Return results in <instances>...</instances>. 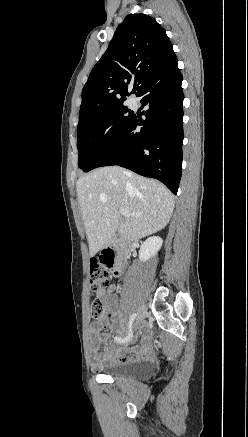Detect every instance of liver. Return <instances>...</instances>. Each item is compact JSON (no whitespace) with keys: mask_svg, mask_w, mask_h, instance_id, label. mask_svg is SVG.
<instances>
[{"mask_svg":"<svg viewBox=\"0 0 248 437\" xmlns=\"http://www.w3.org/2000/svg\"><path fill=\"white\" fill-rule=\"evenodd\" d=\"M76 190L90 256L117 232L126 241H138L162 230L174 210L173 195L163 184L118 166L98 168L80 177ZM120 208L130 216L121 218Z\"/></svg>","mask_w":248,"mask_h":437,"instance_id":"6515ba94","label":"liver"}]
</instances>
